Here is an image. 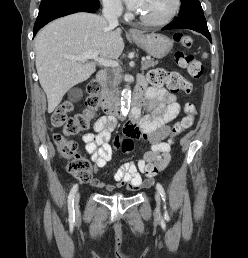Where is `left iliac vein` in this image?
I'll list each match as a JSON object with an SVG mask.
<instances>
[{"mask_svg":"<svg viewBox=\"0 0 248 258\" xmlns=\"http://www.w3.org/2000/svg\"><path fill=\"white\" fill-rule=\"evenodd\" d=\"M155 201H156V206H157L156 210L159 211L160 206H161V196L158 191L155 192Z\"/></svg>","mask_w":248,"mask_h":258,"instance_id":"left-iliac-vein-1","label":"left iliac vein"}]
</instances>
